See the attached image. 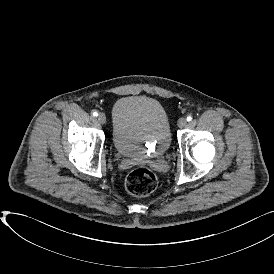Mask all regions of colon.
I'll use <instances>...</instances> for the list:
<instances>
[{"mask_svg":"<svg viewBox=\"0 0 274 274\" xmlns=\"http://www.w3.org/2000/svg\"><path fill=\"white\" fill-rule=\"evenodd\" d=\"M158 184L156 175L146 168L131 171L125 181L127 191L137 197H144L152 193Z\"/></svg>","mask_w":274,"mask_h":274,"instance_id":"5ec220e1","label":"colon"}]
</instances>
